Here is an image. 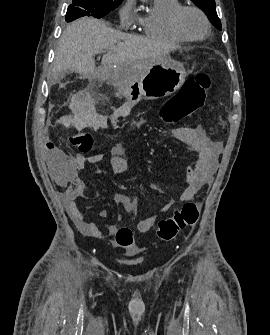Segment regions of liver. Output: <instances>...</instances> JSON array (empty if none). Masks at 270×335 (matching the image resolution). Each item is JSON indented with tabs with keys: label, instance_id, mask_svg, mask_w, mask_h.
<instances>
[{
	"label": "liver",
	"instance_id": "liver-1",
	"mask_svg": "<svg viewBox=\"0 0 270 335\" xmlns=\"http://www.w3.org/2000/svg\"><path fill=\"white\" fill-rule=\"evenodd\" d=\"M104 54L102 66L96 68L95 54ZM166 54L165 46L134 34L108 28L95 18H81L64 30L56 52L54 74L73 70L79 74H100L126 70V78L137 80L149 60Z\"/></svg>",
	"mask_w": 270,
	"mask_h": 335
}]
</instances>
